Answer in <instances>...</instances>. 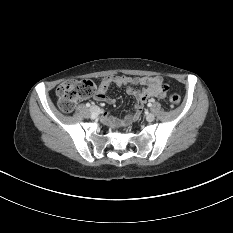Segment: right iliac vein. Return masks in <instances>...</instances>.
<instances>
[{
    "label": "right iliac vein",
    "instance_id": "right-iliac-vein-1",
    "mask_svg": "<svg viewBox=\"0 0 233 233\" xmlns=\"http://www.w3.org/2000/svg\"><path fill=\"white\" fill-rule=\"evenodd\" d=\"M90 112L93 116H96L99 113V107L93 105L90 107Z\"/></svg>",
    "mask_w": 233,
    "mask_h": 233
}]
</instances>
